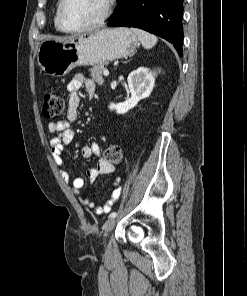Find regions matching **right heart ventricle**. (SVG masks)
I'll use <instances>...</instances> for the list:
<instances>
[{
	"label": "right heart ventricle",
	"instance_id": "right-heart-ventricle-1",
	"mask_svg": "<svg viewBox=\"0 0 247 296\" xmlns=\"http://www.w3.org/2000/svg\"><path fill=\"white\" fill-rule=\"evenodd\" d=\"M54 26H55V28H56L57 30H60L59 27H58V25H57L56 15H55V17H54Z\"/></svg>",
	"mask_w": 247,
	"mask_h": 296
}]
</instances>
